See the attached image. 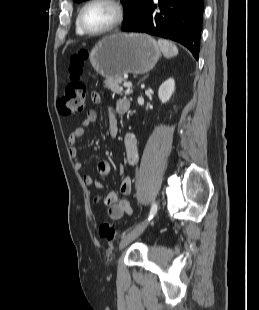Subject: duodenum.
Wrapping results in <instances>:
<instances>
[{
	"label": "duodenum",
	"mask_w": 259,
	"mask_h": 310,
	"mask_svg": "<svg viewBox=\"0 0 259 310\" xmlns=\"http://www.w3.org/2000/svg\"><path fill=\"white\" fill-rule=\"evenodd\" d=\"M127 110H128V107L127 106H122L120 109H119V113H125V112H127Z\"/></svg>",
	"instance_id": "410a0bca"
}]
</instances>
